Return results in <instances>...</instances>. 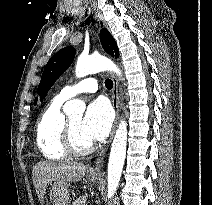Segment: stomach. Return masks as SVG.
Listing matches in <instances>:
<instances>
[{
  "label": "stomach",
  "instance_id": "0dacf381",
  "mask_svg": "<svg viewBox=\"0 0 212 205\" xmlns=\"http://www.w3.org/2000/svg\"><path fill=\"white\" fill-rule=\"evenodd\" d=\"M88 180L95 183L99 178L94 175H88ZM69 184L67 182H54L50 190V200L52 205H68L69 203Z\"/></svg>",
  "mask_w": 212,
  "mask_h": 205
}]
</instances>
